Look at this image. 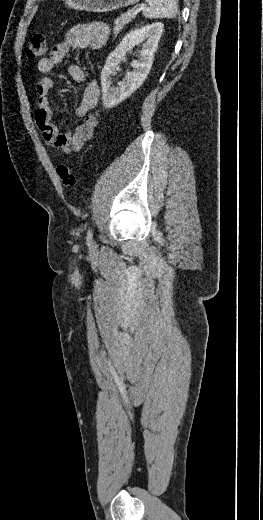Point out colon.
<instances>
[{"instance_id": "colon-1", "label": "colon", "mask_w": 263, "mask_h": 520, "mask_svg": "<svg viewBox=\"0 0 263 520\" xmlns=\"http://www.w3.org/2000/svg\"><path fill=\"white\" fill-rule=\"evenodd\" d=\"M47 51L46 38L43 34H35L29 43L27 55L30 59L41 58ZM58 178L67 187L76 185V177L72 169L66 164H59L56 168Z\"/></svg>"}]
</instances>
